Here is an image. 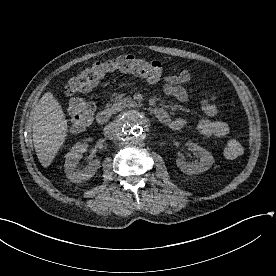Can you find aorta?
<instances>
[{
  "label": "aorta",
  "mask_w": 276,
  "mask_h": 276,
  "mask_svg": "<svg viewBox=\"0 0 276 276\" xmlns=\"http://www.w3.org/2000/svg\"><path fill=\"white\" fill-rule=\"evenodd\" d=\"M146 119L136 110L125 113L117 125V137L119 141L126 145L141 142L146 134Z\"/></svg>",
  "instance_id": "762f6f07"
}]
</instances>
